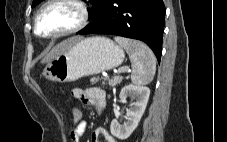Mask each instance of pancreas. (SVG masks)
Masks as SVG:
<instances>
[{
  "label": "pancreas",
  "mask_w": 227,
  "mask_h": 142,
  "mask_svg": "<svg viewBox=\"0 0 227 142\" xmlns=\"http://www.w3.org/2000/svg\"><path fill=\"white\" fill-rule=\"evenodd\" d=\"M122 77L121 76H114L113 78H108V77H102L101 80H102V84L104 85L106 81H108V84L112 87H115L117 84L121 83L122 82ZM99 81V78H95V77H92L90 79V82L91 83H96Z\"/></svg>",
  "instance_id": "pancreas-1"
}]
</instances>
